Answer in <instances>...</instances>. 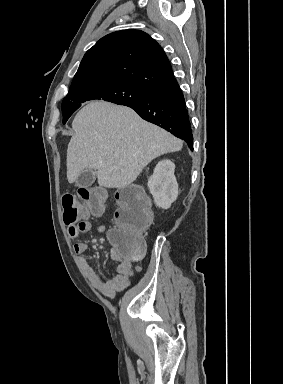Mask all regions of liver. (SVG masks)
Returning a JSON list of instances; mask_svg holds the SVG:
<instances>
[{"mask_svg": "<svg viewBox=\"0 0 283 384\" xmlns=\"http://www.w3.org/2000/svg\"><path fill=\"white\" fill-rule=\"evenodd\" d=\"M72 128L67 148L69 184L84 170H97L99 186L125 188L154 158L179 152L183 146L182 140L141 120L131 108L102 100L88 102L76 114Z\"/></svg>", "mask_w": 283, "mask_h": 384, "instance_id": "1", "label": "liver"}]
</instances>
